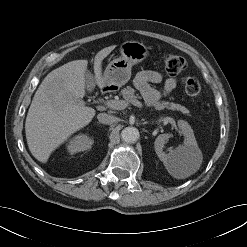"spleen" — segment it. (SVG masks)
I'll return each mask as SVG.
<instances>
[{"mask_svg":"<svg viewBox=\"0 0 247 247\" xmlns=\"http://www.w3.org/2000/svg\"><path fill=\"white\" fill-rule=\"evenodd\" d=\"M184 161H185V160H180V161H177V162H178V163L180 162V164H181V162H184ZM168 168H169L170 173H171L172 175H174L176 178H184V177H187L188 175H190V174H192V173L195 172V170H191V171H190L188 174H186V175H180V174L178 173V171L176 170V168H174V166L169 165Z\"/></svg>","mask_w":247,"mask_h":247,"instance_id":"3e777b00","label":"spleen"}]
</instances>
